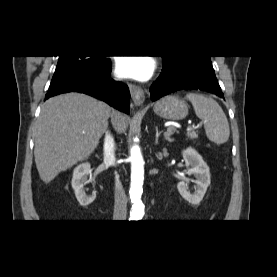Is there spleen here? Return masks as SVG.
<instances>
[{
  "instance_id": "1",
  "label": "spleen",
  "mask_w": 277,
  "mask_h": 277,
  "mask_svg": "<svg viewBox=\"0 0 277 277\" xmlns=\"http://www.w3.org/2000/svg\"><path fill=\"white\" fill-rule=\"evenodd\" d=\"M186 98L192 103L198 118L203 121L207 138L216 144L227 142L229 124L219 104L210 97L195 93H188Z\"/></svg>"
}]
</instances>
